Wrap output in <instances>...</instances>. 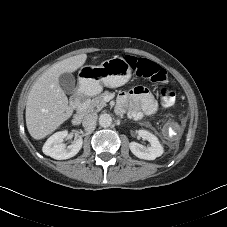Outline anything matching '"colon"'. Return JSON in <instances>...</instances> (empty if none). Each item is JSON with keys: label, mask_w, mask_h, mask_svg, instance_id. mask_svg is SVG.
I'll use <instances>...</instances> for the list:
<instances>
[{"label": "colon", "mask_w": 227, "mask_h": 227, "mask_svg": "<svg viewBox=\"0 0 227 227\" xmlns=\"http://www.w3.org/2000/svg\"><path fill=\"white\" fill-rule=\"evenodd\" d=\"M129 63L137 76L146 78L154 83L163 84L158 90V95L164 105L173 106L175 104L176 93L170 85L166 84L167 73L165 69L151 61L141 59L131 58Z\"/></svg>", "instance_id": "obj_1"}]
</instances>
